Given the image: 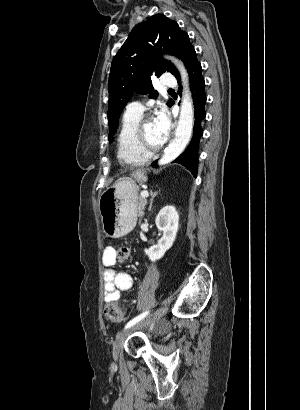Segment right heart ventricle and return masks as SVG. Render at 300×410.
I'll return each instance as SVG.
<instances>
[{
  "label": "right heart ventricle",
  "mask_w": 300,
  "mask_h": 410,
  "mask_svg": "<svg viewBox=\"0 0 300 410\" xmlns=\"http://www.w3.org/2000/svg\"><path fill=\"white\" fill-rule=\"evenodd\" d=\"M141 114L126 111L117 134V156L120 162L131 165L145 164L150 155L141 151L134 139V132Z\"/></svg>",
  "instance_id": "obj_1"
}]
</instances>
